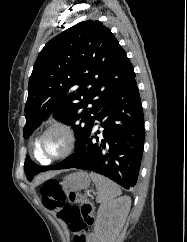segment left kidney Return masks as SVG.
<instances>
[{
  "label": "left kidney",
  "instance_id": "1",
  "mask_svg": "<svg viewBox=\"0 0 187 242\" xmlns=\"http://www.w3.org/2000/svg\"><path fill=\"white\" fill-rule=\"evenodd\" d=\"M131 206V198L124 196L100 205L94 231L99 242H115L124 226Z\"/></svg>",
  "mask_w": 187,
  "mask_h": 242
}]
</instances>
